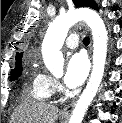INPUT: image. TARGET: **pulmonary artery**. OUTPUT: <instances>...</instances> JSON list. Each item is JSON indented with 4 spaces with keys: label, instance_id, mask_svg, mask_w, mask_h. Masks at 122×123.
Listing matches in <instances>:
<instances>
[{
    "label": "pulmonary artery",
    "instance_id": "pulmonary-artery-1",
    "mask_svg": "<svg viewBox=\"0 0 122 123\" xmlns=\"http://www.w3.org/2000/svg\"><path fill=\"white\" fill-rule=\"evenodd\" d=\"M78 43L79 35L76 33L70 34L65 41V45L70 49L76 48L78 46Z\"/></svg>",
    "mask_w": 122,
    "mask_h": 123
}]
</instances>
